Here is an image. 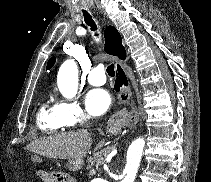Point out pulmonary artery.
I'll use <instances>...</instances> for the list:
<instances>
[{"instance_id": "1", "label": "pulmonary artery", "mask_w": 211, "mask_h": 182, "mask_svg": "<svg viewBox=\"0 0 211 182\" xmlns=\"http://www.w3.org/2000/svg\"><path fill=\"white\" fill-rule=\"evenodd\" d=\"M106 81V75L104 72V68L102 66H98L92 69L88 75V82L93 86L103 85Z\"/></svg>"}]
</instances>
